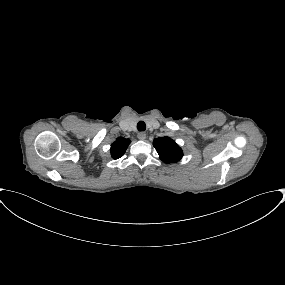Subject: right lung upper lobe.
Masks as SVG:
<instances>
[{"label": "right lung upper lobe", "mask_w": 285, "mask_h": 285, "mask_svg": "<svg viewBox=\"0 0 285 285\" xmlns=\"http://www.w3.org/2000/svg\"><path fill=\"white\" fill-rule=\"evenodd\" d=\"M130 144L129 139H125L123 137L117 138V140L111 145V156L114 159H118L122 157Z\"/></svg>", "instance_id": "right-lung-upper-lobe-1"}]
</instances>
